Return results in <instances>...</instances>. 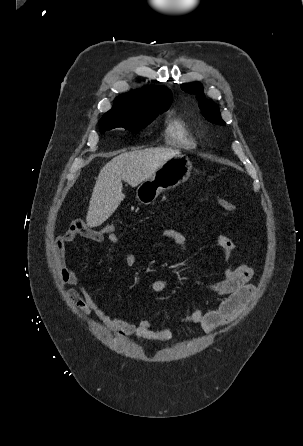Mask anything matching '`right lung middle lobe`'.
<instances>
[{
  "mask_svg": "<svg viewBox=\"0 0 303 446\" xmlns=\"http://www.w3.org/2000/svg\"><path fill=\"white\" fill-rule=\"evenodd\" d=\"M169 108L167 106H159L151 111L142 114H128L108 111L100 120L101 132L116 127H123L132 132H138L150 124L155 117Z\"/></svg>",
  "mask_w": 303,
  "mask_h": 446,
  "instance_id": "obj_1",
  "label": "right lung middle lobe"
}]
</instances>
